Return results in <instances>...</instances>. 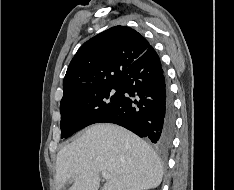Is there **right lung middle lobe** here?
Listing matches in <instances>:
<instances>
[{
	"label": "right lung middle lobe",
	"instance_id": "1",
	"mask_svg": "<svg viewBox=\"0 0 234 190\" xmlns=\"http://www.w3.org/2000/svg\"><path fill=\"white\" fill-rule=\"evenodd\" d=\"M120 92V86L113 84L61 102V138H67L106 116L116 105Z\"/></svg>",
	"mask_w": 234,
	"mask_h": 190
}]
</instances>
